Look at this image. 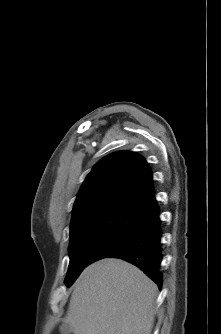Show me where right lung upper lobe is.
Returning a JSON list of instances; mask_svg holds the SVG:
<instances>
[{"mask_svg": "<svg viewBox=\"0 0 221 334\" xmlns=\"http://www.w3.org/2000/svg\"><path fill=\"white\" fill-rule=\"evenodd\" d=\"M156 204L151 170L139 154L120 151L100 160L86 177L73 207L70 231L100 214L147 215Z\"/></svg>", "mask_w": 221, "mask_h": 334, "instance_id": "obj_1", "label": "right lung upper lobe"}]
</instances>
